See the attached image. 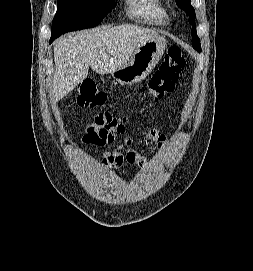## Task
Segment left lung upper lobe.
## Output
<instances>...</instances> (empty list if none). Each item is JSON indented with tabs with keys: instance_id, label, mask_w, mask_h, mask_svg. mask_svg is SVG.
I'll return each mask as SVG.
<instances>
[{
	"instance_id": "obj_1",
	"label": "left lung upper lobe",
	"mask_w": 253,
	"mask_h": 271,
	"mask_svg": "<svg viewBox=\"0 0 253 271\" xmlns=\"http://www.w3.org/2000/svg\"><path fill=\"white\" fill-rule=\"evenodd\" d=\"M177 6L183 9L189 15V22L191 25H193L192 27L193 48L200 52L201 44L200 39L197 36L195 27V17H196L195 10L190 4V0H177Z\"/></svg>"
}]
</instances>
